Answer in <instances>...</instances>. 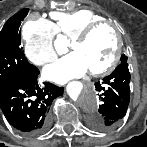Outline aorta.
I'll return each instance as SVG.
<instances>
[{
    "label": "aorta",
    "mask_w": 147,
    "mask_h": 147,
    "mask_svg": "<svg viewBox=\"0 0 147 147\" xmlns=\"http://www.w3.org/2000/svg\"><path fill=\"white\" fill-rule=\"evenodd\" d=\"M69 93L84 111L88 113L96 112L98 100L93 89L80 85L78 88L72 87Z\"/></svg>",
    "instance_id": "aorta-1"
}]
</instances>
